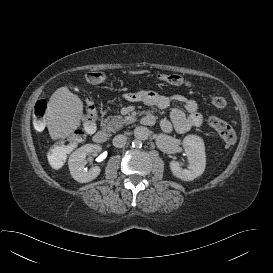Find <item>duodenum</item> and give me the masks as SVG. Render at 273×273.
<instances>
[{"mask_svg":"<svg viewBox=\"0 0 273 273\" xmlns=\"http://www.w3.org/2000/svg\"><path fill=\"white\" fill-rule=\"evenodd\" d=\"M154 122L155 118L151 114H147L141 118V123L143 125H152ZM93 140L97 144H103L108 140V135L105 130L100 129L93 134Z\"/></svg>","mask_w":273,"mask_h":273,"instance_id":"duodenum-1","label":"duodenum"}]
</instances>
